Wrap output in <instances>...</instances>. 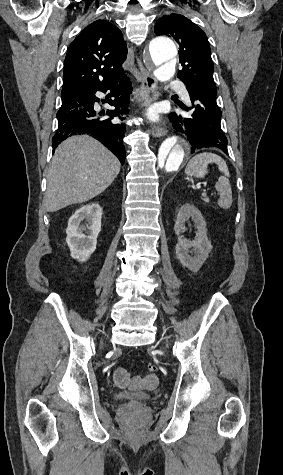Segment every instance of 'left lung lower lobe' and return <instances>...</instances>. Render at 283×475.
I'll return each instance as SVG.
<instances>
[{"mask_svg":"<svg viewBox=\"0 0 283 475\" xmlns=\"http://www.w3.org/2000/svg\"><path fill=\"white\" fill-rule=\"evenodd\" d=\"M192 106L187 115L170 113L169 118L177 131L184 133L191 145V153L207 147H216L226 154L227 138L221 125V110L216 103V89L197 84H187Z\"/></svg>","mask_w":283,"mask_h":475,"instance_id":"left-lung-lower-lobe-1","label":"left lung lower lobe"}]
</instances>
